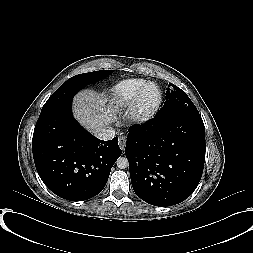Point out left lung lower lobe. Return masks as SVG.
I'll return each mask as SVG.
<instances>
[{"label":"left lung lower lobe","instance_id":"left-lung-lower-lobe-1","mask_svg":"<svg viewBox=\"0 0 253 253\" xmlns=\"http://www.w3.org/2000/svg\"><path fill=\"white\" fill-rule=\"evenodd\" d=\"M125 154L137 196L154 206H171L197 187L205 161V127L200 114H168L128 129Z\"/></svg>","mask_w":253,"mask_h":253}]
</instances>
